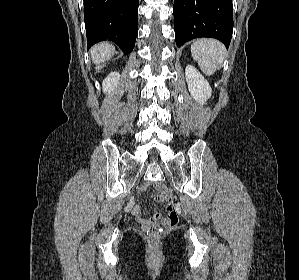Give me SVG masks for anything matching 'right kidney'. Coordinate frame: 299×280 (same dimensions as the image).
<instances>
[{
  "label": "right kidney",
  "mask_w": 299,
  "mask_h": 280,
  "mask_svg": "<svg viewBox=\"0 0 299 280\" xmlns=\"http://www.w3.org/2000/svg\"><path fill=\"white\" fill-rule=\"evenodd\" d=\"M119 73L111 72L102 82L103 90L105 93L110 94L114 91L115 87L118 85Z\"/></svg>",
  "instance_id": "ca27d5eb"
}]
</instances>
